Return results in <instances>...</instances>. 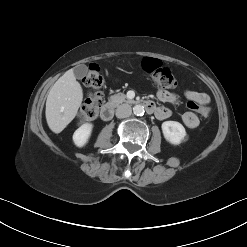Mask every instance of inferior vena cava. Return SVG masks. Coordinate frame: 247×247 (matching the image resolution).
Segmentation results:
<instances>
[{
  "instance_id": "602c4592",
  "label": "inferior vena cava",
  "mask_w": 247,
  "mask_h": 247,
  "mask_svg": "<svg viewBox=\"0 0 247 247\" xmlns=\"http://www.w3.org/2000/svg\"><path fill=\"white\" fill-rule=\"evenodd\" d=\"M132 113V108L129 104H122L116 109L117 118H126L129 117Z\"/></svg>"
}]
</instances>
